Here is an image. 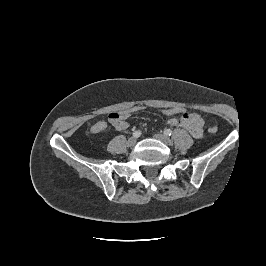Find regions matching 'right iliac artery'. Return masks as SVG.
Here are the masks:
<instances>
[{
	"label": "right iliac artery",
	"mask_w": 266,
	"mask_h": 266,
	"mask_svg": "<svg viewBox=\"0 0 266 266\" xmlns=\"http://www.w3.org/2000/svg\"><path fill=\"white\" fill-rule=\"evenodd\" d=\"M140 135H141V131H139V130H137L133 133V136L136 138L140 137Z\"/></svg>",
	"instance_id": "82829eb1"
}]
</instances>
